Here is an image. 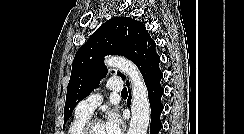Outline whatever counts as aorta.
Masks as SVG:
<instances>
[{
  "mask_svg": "<svg viewBox=\"0 0 244 134\" xmlns=\"http://www.w3.org/2000/svg\"><path fill=\"white\" fill-rule=\"evenodd\" d=\"M105 65L117 68L128 76L132 87L131 120L127 134H146L150 121L148 90L137 66L123 57H110Z\"/></svg>",
  "mask_w": 244,
  "mask_h": 134,
  "instance_id": "762f6f07",
  "label": "aorta"
}]
</instances>
